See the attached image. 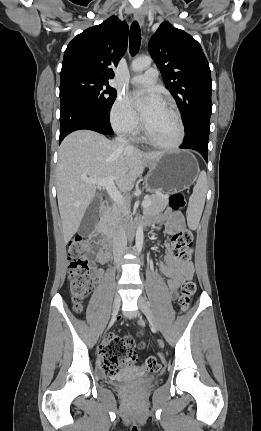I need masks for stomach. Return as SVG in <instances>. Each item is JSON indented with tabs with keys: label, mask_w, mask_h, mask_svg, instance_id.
Wrapping results in <instances>:
<instances>
[{
	"label": "stomach",
	"mask_w": 261,
	"mask_h": 431,
	"mask_svg": "<svg viewBox=\"0 0 261 431\" xmlns=\"http://www.w3.org/2000/svg\"><path fill=\"white\" fill-rule=\"evenodd\" d=\"M147 165L146 188L151 192L182 191L192 185L199 174L197 160L186 151L165 152Z\"/></svg>",
	"instance_id": "obj_1"
}]
</instances>
